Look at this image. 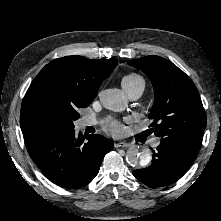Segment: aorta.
I'll use <instances>...</instances> for the list:
<instances>
[{"mask_svg": "<svg viewBox=\"0 0 221 221\" xmlns=\"http://www.w3.org/2000/svg\"><path fill=\"white\" fill-rule=\"evenodd\" d=\"M102 105L112 111H122L127 106L125 94L120 89H106L100 95ZM126 160L133 168L146 167L151 162V153L147 148L133 146L126 152Z\"/></svg>", "mask_w": 221, "mask_h": 221, "instance_id": "1", "label": "aorta"}]
</instances>
